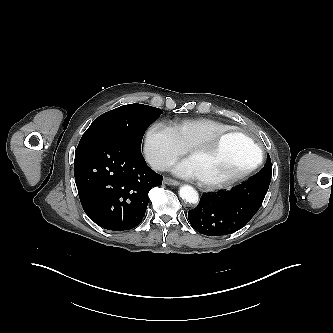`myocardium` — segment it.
<instances>
[{"label":"myocardium","instance_id":"obj_1","mask_svg":"<svg viewBox=\"0 0 333 333\" xmlns=\"http://www.w3.org/2000/svg\"><path fill=\"white\" fill-rule=\"evenodd\" d=\"M232 134H241L247 137L252 142L257 152L255 160L246 168L224 179L206 180L198 177V181L203 187L210 190L226 188L248 176L260 165L263 158V149L260 143L246 130L236 127H232L230 129L219 132L205 140L196 142L188 148V154L191 157L195 153L209 152L213 150L221 142L222 139Z\"/></svg>","mask_w":333,"mask_h":333}]
</instances>
